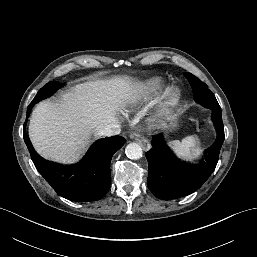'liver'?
<instances>
[{"label":"liver","mask_w":257,"mask_h":257,"mask_svg":"<svg viewBox=\"0 0 257 257\" xmlns=\"http://www.w3.org/2000/svg\"><path fill=\"white\" fill-rule=\"evenodd\" d=\"M137 91L138 85L123 77L78 84L59 101L35 108L28 130L31 142L46 159L73 162L92 135L116 123L117 113Z\"/></svg>","instance_id":"6515ba94"}]
</instances>
